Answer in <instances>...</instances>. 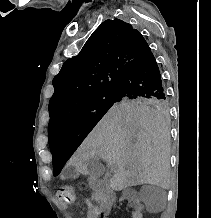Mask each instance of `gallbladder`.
Segmentation results:
<instances>
[{
  "instance_id": "1",
  "label": "gallbladder",
  "mask_w": 211,
  "mask_h": 218,
  "mask_svg": "<svg viewBox=\"0 0 211 218\" xmlns=\"http://www.w3.org/2000/svg\"><path fill=\"white\" fill-rule=\"evenodd\" d=\"M105 172L103 164H101L99 158H92L87 164V174L93 176V178H101Z\"/></svg>"
}]
</instances>
